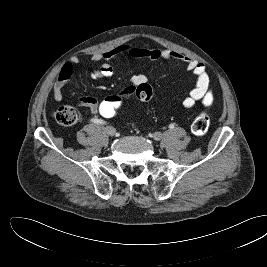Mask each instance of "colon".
Segmentation results:
<instances>
[{
	"mask_svg": "<svg viewBox=\"0 0 267 267\" xmlns=\"http://www.w3.org/2000/svg\"><path fill=\"white\" fill-rule=\"evenodd\" d=\"M137 98L142 102H149L154 98L153 88L146 84H140L135 88ZM126 99L119 93H113L104 97L98 106V113L106 118L111 119L117 116L125 107ZM53 118L61 125L71 126L78 120L77 111L71 106H61L53 112ZM210 126V119L206 112H200L192 123V132L195 135L205 134Z\"/></svg>",
	"mask_w": 267,
	"mask_h": 267,
	"instance_id": "5ec220e1",
	"label": "colon"
}]
</instances>
